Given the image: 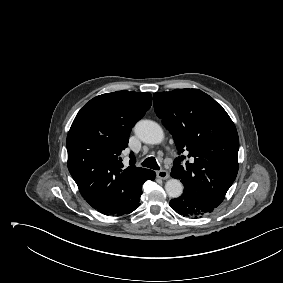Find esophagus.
Instances as JSON below:
<instances>
[{
    "mask_svg": "<svg viewBox=\"0 0 283 283\" xmlns=\"http://www.w3.org/2000/svg\"><path fill=\"white\" fill-rule=\"evenodd\" d=\"M157 177L165 180L169 178V173L166 170H160V171H157Z\"/></svg>",
    "mask_w": 283,
    "mask_h": 283,
    "instance_id": "esophagus-1",
    "label": "esophagus"
}]
</instances>
